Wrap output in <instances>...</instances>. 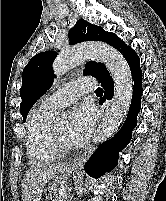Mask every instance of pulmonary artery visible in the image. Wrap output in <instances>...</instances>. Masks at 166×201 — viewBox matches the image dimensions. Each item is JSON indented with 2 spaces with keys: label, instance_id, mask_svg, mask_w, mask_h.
I'll list each match as a JSON object with an SVG mask.
<instances>
[{
  "label": "pulmonary artery",
  "instance_id": "pulmonary-artery-1",
  "mask_svg": "<svg viewBox=\"0 0 166 201\" xmlns=\"http://www.w3.org/2000/svg\"><path fill=\"white\" fill-rule=\"evenodd\" d=\"M96 85V81L91 78L74 80L45 98L43 105L51 109L71 105L76 102L83 93L92 90Z\"/></svg>",
  "mask_w": 166,
  "mask_h": 201
}]
</instances>
